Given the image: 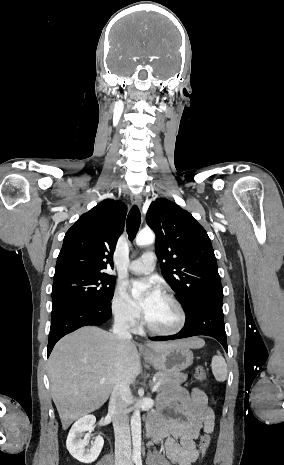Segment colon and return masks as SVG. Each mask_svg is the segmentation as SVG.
<instances>
[{"label":"colon","instance_id":"1","mask_svg":"<svg viewBox=\"0 0 284 465\" xmlns=\"http://www.w3.org/2000/svg\"><path fill=\"white\" fill-rule=\"evenodd\" d=\"M195 376L198 380L205 381L206 380V371L202 367H198L195 371ZM199 446L203 449L202 450V458H208L209 450L211 449V441L207 436H204L200 442ZM206 448V449H205Z\"/></svg>","mask_w":284,"mask_h":465}]
</instances>
